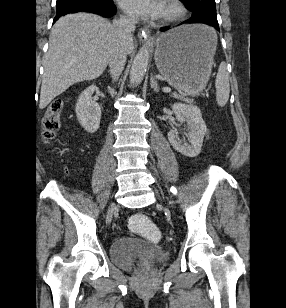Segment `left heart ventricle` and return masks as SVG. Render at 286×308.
I'll return each mask as SVG.
<instances>
[{
	"instance_id": "1",
	"label": "left heart ventricle",
	"mask_w": 286,
	"mask_h": 308,
	"mask_svg": "<svg viewBox=\"0 0 286 308\" xmlns=\"http://www.w3.org/2000/svg\"><path fill=\"white\" fill-rule=\"evenodd\" d=\"M165 12V8L163 7V11H162V14Z\"/></svg>"
}]
</instances>
